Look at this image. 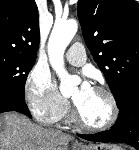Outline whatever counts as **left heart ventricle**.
I'll list each match as a JSON object with an SVG mask.
<instances>
[{"mask_svg":"<svg viewBox=\"0 0 139 150\" xmlns=\"http://www.w3.org/2000/svg\"><path fill=\"white\" fill-rule=\"evenodd\" d=\"M82 119L90 125H102L110 117V105L107 97L94 89L88 91L77 87L72 95Z\"/></svg>","mask_w":139,"mask_h":150,"instance_id":"1","label":"left heart ventricle"}]
</instances>
